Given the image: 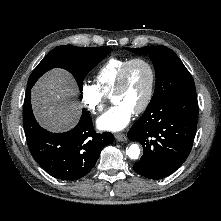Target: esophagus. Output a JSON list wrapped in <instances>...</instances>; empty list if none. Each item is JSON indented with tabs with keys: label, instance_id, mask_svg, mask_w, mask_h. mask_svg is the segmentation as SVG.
<instances>
[{
	"label": "esophagus",
	"instance_id": "obj_1",
	"mask_svg": "<svg viewBox=\"0 0 221 221\" xmlns=\"http://www.w3.org/2000/svg\"><path fill=\"white\" fill-rule=\"evenodd\" d=\"M115 138L117 141H126L127 136L123 133H115Z\"/></svg>",
	"mask_w": 221,
	"mask_h": 221
}]
</instances>
